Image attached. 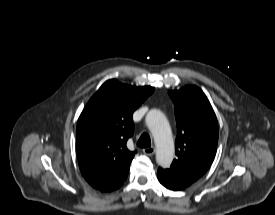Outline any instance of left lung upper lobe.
<instances>
[{
	"mask_svg": "<svg viewBox=\"0 0 275 215\" xmlns=\"http://www.w3.org/2000/svg\"><path fill=\"white\" fill-rule=\"evenodd\" d=\"M168 94L175 106L177 158L164 170L178 180L193 183L208 170L215 157L216 115L206 95L196 86L188 85Z\"/></svg>",
	"mask_w": 275,
	"mask_h": 215,
	"instance_id": "obj_1",
	"label": "left lung upper lobe"
}]
</instances>
